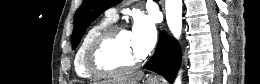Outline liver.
<instances>
[{
	"label": "liver",
	"mask_w": 260,
	"mask_h": 84,
	"mask_svg": "<svg viewBox=\"0 0 260 84\" xmlns=\"http://www.w3.org/2000/svg\"><path fill=\"white\" fill-rule=\"evenodd\" d=\"M142 76H143L142 74L126 76L119 80L104 81L99 84H138V82L141 80Z\"/></svg>",
	"instance_id": "liver-1"
}]
</instances>
